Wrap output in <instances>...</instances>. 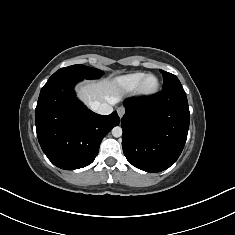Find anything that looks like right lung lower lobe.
<instances>
[{
    "label": "right lung lower lobe",
    "instance_id": "obj_1",
    "mask_svg": "<svg viewBox=\"0 0 235 235\" xmlns=\"http://www.w3.org/2000/svg\"><path fill=\"white\" fill-rule=\"evenodd\" d=\"M81 80L77 77L48 80L35 110L40 146L55 166L65 170L91 164L102 139L120 122L116 111L99 115L76 98L74 86Z\"/></svg>",
    "mask_w": 235,
    "mask_h": 235
}]
</instances>
